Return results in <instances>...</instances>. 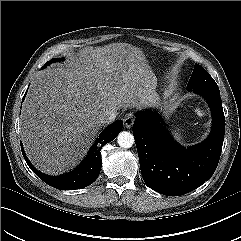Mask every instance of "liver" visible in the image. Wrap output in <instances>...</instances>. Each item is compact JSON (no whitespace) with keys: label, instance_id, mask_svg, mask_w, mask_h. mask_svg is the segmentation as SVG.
I'll list each match as a JSON object with an SVG mask.
<instances>
[{"label":"liver","instance_id":"6515ba94","mask_svg":"<svg viewBox=\"0 0 241 241\" xmlns=\"http://www.w3.org/2000/svg\"><path fill=\"white\" fill-rule=\"evenodd\" d=\"M68 67L40 71L21 113V137L29 160L57 175L78 164L109 111L156 104L157 78L143 51L127 43L86 48Z\"/></svg>","mask_w":241,"mask_h":241}]
</instances>
